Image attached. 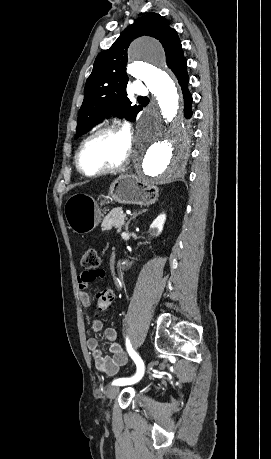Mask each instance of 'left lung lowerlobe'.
<instances>
[{"mask_svg": "<svg viewBox=\"0 0 271 459\" xmlns=\"http://www.w3.org/2000/svg\"><path fill=\"white\" fill-rule=\"evenodd\" d=\"M173 73L176 75L178 82L181 86L183 97H184V114L187 119L192 115L191 103L192 95L188 91L189 77L187 74V61L186 59L181 60L173 69Z\"/></svg>", "mask_w": 271, "mask_h": 459, "instance_id": "1", "label": "left lung lower lobe"}]
</instances>
